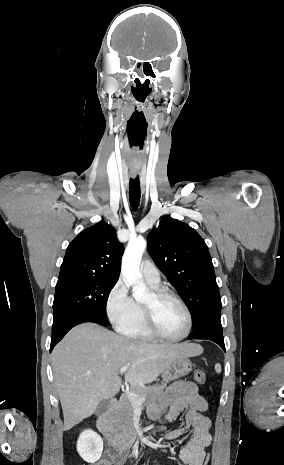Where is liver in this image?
<instances>
[{"mask_svg": "<svg viewBox=\"0 0 284 465\" xmlns=\"http://www.w3.org/2000/svg\"><path fill=\"white\" fill-rule=\"evenodd\" d=\"M202 353L203 347L197 343L151 345L120 337L95 323L74 327L52 353L64 431L91 417L103 399H113L119 393L121 367H129L124 379L139 389V383H153L180 357Z\"/></svg>", "mask_w": 284, "mask_h": 465, "instance_id": "liver-1", "label": "liver"}]
</instances>
